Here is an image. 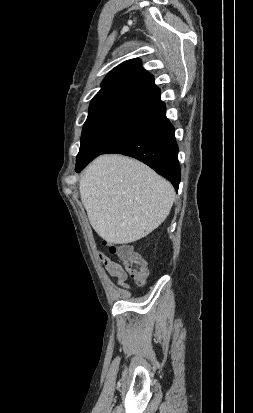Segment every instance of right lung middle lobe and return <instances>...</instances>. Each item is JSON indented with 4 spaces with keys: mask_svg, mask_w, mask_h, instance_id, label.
Returning a JSON list of instances; mask_svg holds the SVG:
<instances>
[{
    "mask_svg": "<svg viewBox=\"0 0 253 413\" xmlns=\"http://www.w3.org/2000/svg\"><path fill=\"white\" fill-rule=\"evenodd\" d=\"M148 117L108 113L87 118L84 123L76 166L90 162L109 147L128 136L147 121Z\"/></svg>",
    "mask_w": 253,
    "mask_h": 413,
    "instance_id": "right-lung-middle-lobe-1",
    "label": "right lung middle lobe"
}]
</instances>
